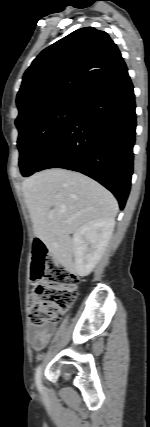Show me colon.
<instances>
[{
    "instance_id": "obj_1",
    "label": "colon",
    "mask_w": 150,
    "mask_h": 427,
    "mask_svg": "<svg viewBox=\"0 0 150 427\" xmlns=\"http://www.w3.org/2000/svg\"><path fill=\"white\" fill-rule=\"evenodd\" d=\"M32 278L38 282L29 292V319L34 326L57 323L71 306L79 278L50 256L45 244L33 241Z\"/></svg>"
}]
</instances>
